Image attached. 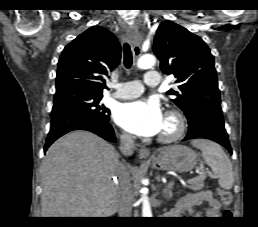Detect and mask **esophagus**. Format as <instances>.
<instances>
[{
	"instance_id": "34e87169",
	"label": "esophagus",
	"mask_w": 258,
	"mask_h": 227,
	"mask_svg": "<svg viewBox=\"0 0 258 227\" xmlns=\"http://www.w3.org/2000/svg\"><path fill=\"white\" fill-rule=\"evenodd\" d=\"M128 38L132 44L134 54L138 56L140 54V46H139L140 35H139V33L133 29H130V30H128ZM149 155H150V150L147 148H142L139 151V158L141 160L148 159Z\"/></svg>"
}]
</instances>
